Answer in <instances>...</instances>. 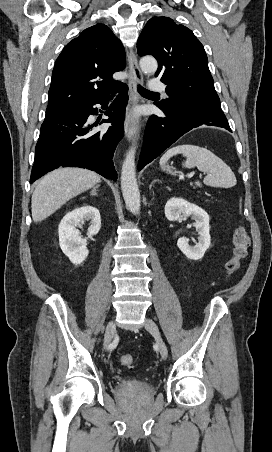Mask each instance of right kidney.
Listing matches in <instances>:
<instances>
[{"label": "right kidney", "mask_w": 272, "mask_h": 452, "mask_svg": "<svg viewBox=\"0 0 272 452\" xmlns=\"http://www.w3.org/2000/svg\"><path fill=\"white\" fill-rule=\"evenodd\" d=\"M90 221L87 235L98 234L101 228V217L99 210L92 206H83L67 213L61 220L58 233L59 244L63 253L75 264H81L89 254L87 240L83 239L78 229V225Z\"/></svg>", "instance_id": "right-kidney-1"}]
</instances>
